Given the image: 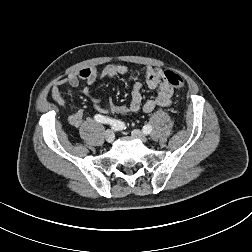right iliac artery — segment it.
Wrapping results in <instances>:
<instances>
[{"label": "right iliac artery", "instance_id": "obj_1", "mask_svg": "<svg viewBox=\"0 0 252 252\" xmlns=\"http://www.w3.org/2000/svg\"><path fill=\"white\" fill-rule=\"evenodd\" d=\"M94 119L97 121V122H99V123H106V124H110V125H120V126H122L124 129L126 128L125 127V124L123 123V122H121V121H119V120H114V119H110V118H108V117H104V116H102V115H99V114H96L95 116H94Z\"/></svg>", "mask_w": 252, "mask_h": 252}]
</instances>
